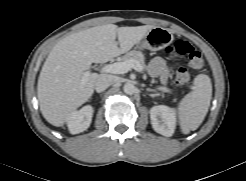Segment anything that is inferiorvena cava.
Here are the masks:
<instances>
[{
  "label": "inferior vena cava",
  "instance_id": "1",
  "mask_svg": "<svg viewBox=\"0 0 246 181\" xmlns=\"http://www.w3.org/2000/svg\"><path fill=\"white\" fill-rule=\"evenodd\" d=\"M116 82V79L112 75L101 74L95 82V90L98 93L103 92L109 86L113 85Z\"/></svg>",
  "mask_w": 246,
  "mask_h": 181
}]
</instances>
